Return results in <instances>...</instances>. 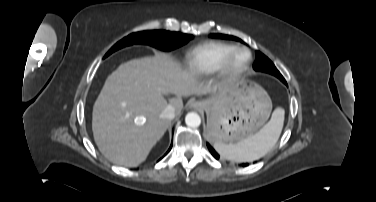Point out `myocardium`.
<instances>
[{"instance_id":"1","label":"myocardium","mask_w":376,"mask_h":202,"mask_svg":"<svg viewBox=\"0 0 376 202\" xmlns=\"http://www.w3.org/2000/svg\"><path fill=\"white\" fill-rule=\"evenodd\" d=\"M244 55L245 60L239 64L234 65V60L239 56ZM251 61V53L243 47H236L230 51L222 60L219 68V76L224 80H234L240 77L249 67Z\"/></svg>"}]
</instances>
